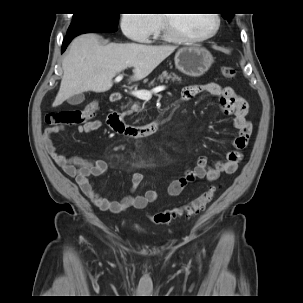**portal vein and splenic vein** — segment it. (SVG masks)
Here are the masks:
<instances>
[{
  "label": "portal vein and splenic vein",
  "mask_w": 303,
  "mask_h": 303,
  "mask_svg": "<svg viewBox=\"0 0 303 303\" xmlns=\"http://www.w3.org/2000/svg\"><path fill=\"white\" fill-rule=\"evenodd\" d=\"M122 75H119L115 78V82H118L122 79ZM166 89V86L164 85H160L157 86L155 88H153L152 90H135L132 91L131 94L141 100H149L152 97L153 93H157V92H161L164 91Z\"/></svg>",
  "instance_id": "portal-vein-and-splenic-vein-1"
}]
</instances>
